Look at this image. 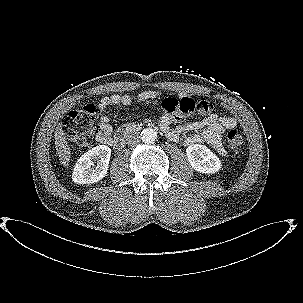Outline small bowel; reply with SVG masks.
<instances>
[{"label":"small bowel","instance_id":"1","mask_svg":"<svg viewBox=\"0 0 303 303\" xmlns=\"http://www.w3.org/2000/svg\"><path fill=\"white\" fill-rule=\"evenodd\" d=\"M161 95L160 91L146 90L137 95V101L145 103L159 98ZM131 102L132 99L128 95L112 94L101 98L98 104L101 112L98 121L100 132L96 136L99 142L109 144L110 139H112L113 128L110 124V115L107 114L108 107H127ZM200 115L203 116L202 120L186 122L174 128L173 124L180 122L182 119L170 113L166 114L161 118V129L162 131H172L175 133V138L170 139L172 141H178L182 132L200 130L199 134L187 136L184 141L185 144L206 142L220 155H224L226 150L222 144V135L226 130L233 129L238 125L237 118L233 116H218L213 113L212 106L208 102H204L201 106Z\"/></svg>","mask_w":303,"mask_h":303}]
</instances>
